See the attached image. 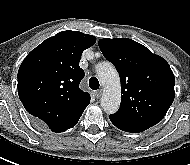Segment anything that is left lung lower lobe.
Wrapping results in <instances>:
<instances>
[{
  "label": "left lung lower lobe",
  "mask_w": 190,
  "mask_h": 165,
  "mask_svg": "<svg viewBox=\"0 0 190 165\" xmlns=\"http://www.w3.org/2000/svg\"><path fill=\"white\" fill-rule=\"evenodd\" d=\"M110 120L117 128L126 132L137 133V132H142L144 130H147L149 128V127H144V126H135V125L127 124L112 116H110Z\"/></svg>",
  "instance_id": "obj_1"
}]
</instances>
